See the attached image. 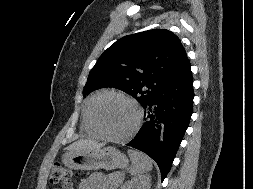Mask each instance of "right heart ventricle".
Returning a JSON list of instances; mask_svg holds the SVG:
<instances>
[{"label": "right heart ventricle", "mask_w": 253, "mask_h": 189, "mask_svg": "<svg viewBox=\"0 0 253 189\" xmlns=\"http://www.w3.org/2000/svg\"><path fill=\"white\" fill-rule=\"evenodd\" d=\"M98 95V94H97ZM94 95L91 98H89L84 106H83V110H82V125L84 130L91 136H95V137H99L101 136L99 134V132L95 129V127L92 125L91 119H90V107L91 104L94 100V98L97 96Z\"/></svg>", "instance_id": "right-heart-ventricle-1"}]
</instances>
